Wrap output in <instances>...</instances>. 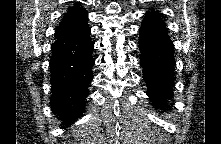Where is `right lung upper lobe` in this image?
I'll return each mask as SVG.
<instances>
[{"instance_id":"1","label":"right lung upper lobe","mask_w":221,"mask_h":144,"mask_svg":"<svg viewBox=\"0 0 221 144\" xmlns=\"http://www.w3.org/2000/svg\"><path fill=\"white\" fill-rule=\"evenodd\" d=\"M88 14L85 9L75 4L70 7L67 13L64 15L62 22L56 29L55 39L62 37L75 29L85 25L87 23Z\"/></svg>"}]
</instances>
